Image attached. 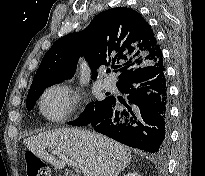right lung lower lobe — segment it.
<instances>
[{"label":"right lung lower lobe","mask_w":205,"mask_h":176,"mask_svg":"<svg viewBox=\"0 0 205 176\" xmlns=\"http://www.w3.org/2000/svg\"><path fill=\"white\" fill-rule=\"evenodd\" d=\"M117 84L128 94L118 110L115 97H107L88 124L132 148L164 155L168 149V86L164 63H153L126 74ZM87 124V125H88Z\"/></svg>","instance_id":"98d812e1"}]
</instances>
